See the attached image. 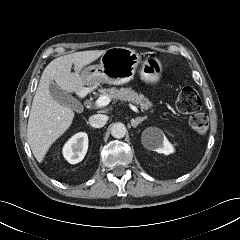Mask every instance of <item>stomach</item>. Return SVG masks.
<instances>
[{
  "label": "stomach",
  "mask_w": 240,
  "mask_h": 240,
  "mask_svg": "<svg viewBox=\"0 0 240 240\" xmlns=\"http://www.w3.org/2000/svg\"><path fill=\"white\" fill-rule=\"evenodd\" d=\"M140 55L130 48L112 47L102 54L100 64L84 69L83 76L89 89H95L101 83L122 85L133 79ZM163 71L157 58H147L142 62L140 77L145 83L156 84Z\"/></svg>",
  "instance_id": "1"
}]
</instances>
